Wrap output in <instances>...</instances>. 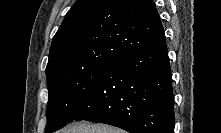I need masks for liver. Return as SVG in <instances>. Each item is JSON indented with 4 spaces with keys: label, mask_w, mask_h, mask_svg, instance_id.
<instances>
[{
    "label": "liver",
    "mask_w": 221,
    "mask_h": 133,
    "mask_svg": "<svg viewBox=\"0 0 221 133\" xmlns=\"http://www.w3.org/2000/svg\"><path fill=\"white\" fill-rule=\"evenodd\" d=\"M59 133H124V131L105 124L78 122L62 129Z\"/></svg>",
    "instance_id": "liver-1"
}]
</instances>
